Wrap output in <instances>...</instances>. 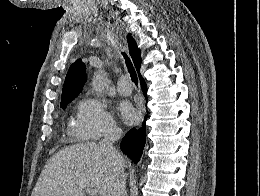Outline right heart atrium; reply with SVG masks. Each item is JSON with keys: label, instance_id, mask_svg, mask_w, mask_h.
I'll list each match as a JSON object with an SVG mask.
<instances>
[{"label": "right heart atrium", "instance_id": "d8ad5b80", "mask_svg": "<svg viewBox=\"0 0 260 196\" xmlns=\"http://www.w3.org/2000/svg\"><path fill=\"white\" fill-rule=\"evenodd\" d=\"M71 128L87 140L86 143H97L101 134L118 129V123L107 105L89 94L79 102Z\"/></svg>", "mask_w": 260, "mask_h": 196}]
</instances>
